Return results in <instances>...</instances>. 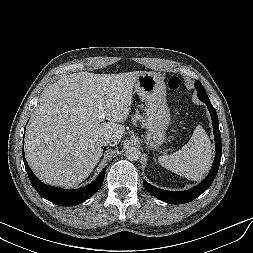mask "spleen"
I'll use <instances>...</instances> for the list:
<instances>
[{
  "label": "spleen",
  "instance_id": "1",
  "mask_svg": "<svg viewBox=\"0 0 253 253\" xmlns=\"http://www.w3.org/2000/svg\"><path fill=\"white\" fill-rule=\"evenodd\" d=\"M166 169L189 180H201L212 164V146L208 135L198 125L188 143L180 150L159 158Z\"/></svg>",
  "mask_w": 253,
  "mask_h": 253
}]
</instances>
